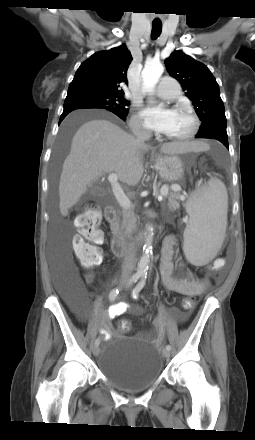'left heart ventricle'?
I'll list each match as a JSON object with an SVG mask.
<instances>
[{
    "label": "left heart ventricle",
    "instance_id": "b2bd125f",
    "mask_svg": "<svg viewBox=\"0 0 255 440\" xmlns=\"http://www.w3.org/2000/svg\"><path fill=\"white\" fill-rule=\"evenodd\" d=\"M191 127L192 120L190 116L185 111L175 110L172 126L166 134L173 137H179L186 134Z\"/></svg>",
    "mask_w": 255,
    "mask_h": 440
}]
</instances>
